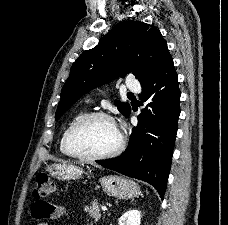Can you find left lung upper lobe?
<instances>
[{
    "mask_svg": "<svg viewBox=\"0 0 228 225\" xmlns=\"http://www.w3.org/2000/svg\"><path fill=\"white\" fill-rule=\"evenodd\" d=\"M170 55L157 27L144 22H120L103 36L100 43L73 63L65 82L55 119L58 120L82 95L118 76L133 73L143 83L150 79ZM125 116L128 103L116 101Z\"/></svg>",
    "mask_w": 228,
    "mask_h": 225,
    "instance_id": "1",
    "label": "left lung upper lobe"
}]
</instances>
